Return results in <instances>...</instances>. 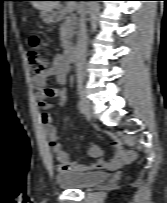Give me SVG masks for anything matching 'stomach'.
I'll return each instance as SVG.
<instances>
[{
    "label": "stomach",
    "instance_id": "stomach-1",
    "mask_svg": "<svg viewBox=\"0 0 167 203\" xmlns=\"http://www.w3.org/2000/svg\"><path fill=\"white\" fill-rule=\"evenodd\" d=\"M56 13L54 11H42L41 18L45 23H52L56 20Z\"/></svg>",
    "mask_w": 167,
    "mask_h": 203
}]
</instances>
